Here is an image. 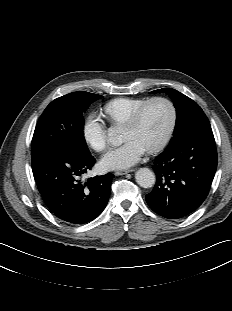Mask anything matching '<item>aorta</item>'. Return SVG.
Wrapping results in <instances>:
<instances>
[{"instance_id":"762f6f07","label":"aorta","mask_w":232,"mask_h":311,"mask_svg":"<svg viewBox=\"0 0 232 311\" xmlns=\"http://www.w3.org/2000/svg\"><path fill=\"white\" fill-rule=\"evenodd\" d=\"M108 139L111 143L115 144L119 138L113 128L108 130ZM136 182L143 188H150L155 184V174L148 168H140L135 174Z\"/></svg>"}]
</instances>
